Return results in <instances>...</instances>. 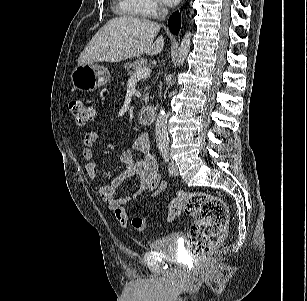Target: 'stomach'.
Instances as JSON below:
<instances>
[{
  "label": "stomach",
  "instance_id": "1",
  "mask_svg": "<svg viewBox=\"0 0 307 301\" xmlns=\"http://www.w3.org/2000/svg\"><path fill=\"white\" fill-rule=\"evenodd\" d=\"M73 86L84 92H92L110 80L107 68L94 63L78 65L71 74Z\"/></svg>",
  "mask_w": 307,
  "mask_h": 301
}]
</instances>
